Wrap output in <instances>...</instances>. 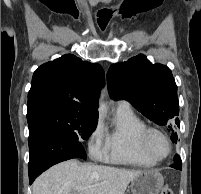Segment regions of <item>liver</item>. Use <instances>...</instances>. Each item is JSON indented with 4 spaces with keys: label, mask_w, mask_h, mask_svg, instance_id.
<instances>
[{
    "label": "liver",
    "mask_w": 201,
    "mask_h": 194,
    "mask_svg": "<svg viewBox=\"0 0 201 194\" xmlns=\"http://www.w3.org/2000/svg\"><path fill=\"white\" fill-rule=\"evenodd\" d=\"M143 171L118 169L69 160L51 167L34 182L33 194H124L128 184Z\"/></svg>",
    "instance_id": "liver-1"
}]
</instances>
